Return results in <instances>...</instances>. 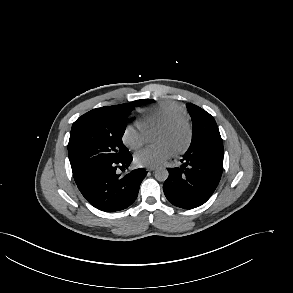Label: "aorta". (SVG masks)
Segmentation results:
<instances>
[{"mask_svg":"<svg viewBox=\"0 0 293 293\" xmlns=\"http://www.w3.org/2000/svg\"><path fill=\"white\" fill-rule=\"evenodd\" d=\"M168 170L166 168H158L155 170V178L158 181H165L168 178Z\"/></svg>","mask_w":293,"mask_h":293,"instance_id":"obj_1","label":"aorta"}]
</instances>
